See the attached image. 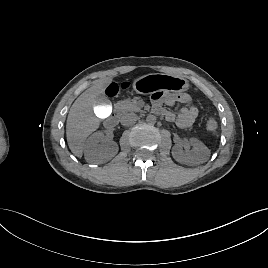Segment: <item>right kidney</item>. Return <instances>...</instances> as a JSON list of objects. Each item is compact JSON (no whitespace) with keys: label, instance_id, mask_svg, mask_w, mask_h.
Wrapping results in <instances>:
<instances>
[{"label":"right kidney","instance_id":"right-kidney-1","mask_svg":"<svg viewBox=\"0 0 268 268\" xmlns=\"http://www.w3.org/2000/svg\"><path fill=\"white\" fill-rule=\"evenodd\" d=\"M118 152V145L114 141L104 142V134L95 132L84 146V156L87 162L100 164L112 159Z\"/></svg>","mask_w":268,"mask_h":268}]
</instances>
